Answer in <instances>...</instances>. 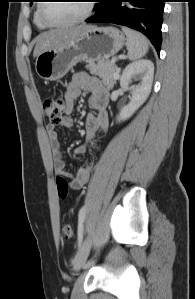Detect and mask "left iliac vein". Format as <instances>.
I'll return each mask as SVG.
<instances>
[{"instance_id":"1","label":"left iliac vein","mask_w":195,"mask_h":299,"mask_svg":"<svg viewBox=\"0 0 195 299\" xmlns=\"http://www.w3.org/2000/svg\"><path fill=\"white\" fill-rule=\"evenodd\" d=\"M91 248V239L88 237L84 240L83 244L79 248V251L74 260V270L78 271L84 265Z\"/></svg>"}]
</instances>
